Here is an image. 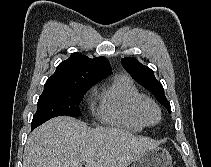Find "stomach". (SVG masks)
<instances>
[{"mask_svg": "<svg viewBox=\"0 0 211 167\" xmlns=\"http://www.w3.org/2000/svg\"><path fill=\"white\" fill-rule=\"evenodd\" d=\"M131 167H173L169 152L161 147H155L133 162Z\"/></svg>", "mask_w": 211, "mask_h": 167, "instance_id": "stomach-1", "label": "stomach"}]
</instances>
